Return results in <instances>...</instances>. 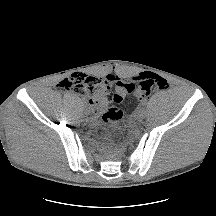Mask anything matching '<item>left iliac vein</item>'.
I'll return each mask as SVG.
<instances>
[{"instance_id": "4c4485c4", "label": "left iliac vein", "mask_w": 216, "mask_h": 216, "mask_svg": "<svg viewBox=\"0 0 216 216\" xmlns=\"http://www.w3.org/2000/svg\"><path fill=\"white\" fill-rule=\"evenodd\" d=\"M147 114V110L144 107H141L138 111H137V118L139 120H143L146 117Z\"/></svg>"}]
</instances>
